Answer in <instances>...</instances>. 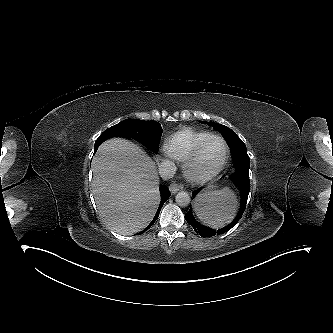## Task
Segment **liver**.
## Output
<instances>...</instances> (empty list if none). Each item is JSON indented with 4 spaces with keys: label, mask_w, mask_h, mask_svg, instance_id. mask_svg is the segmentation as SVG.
<instances>
[{
    "label": "liver",
    "mask_w": 333,
    "mask_h": 333,
    "mask_svg": "<svg viewBox=\"0 0 333 333\" xmlns=\"http://www.w3.org/2000/svg\"><path fill=\"white\" fill-rule=\"evenodd\" d=\"M92 171L93 195L104 222L122 235L145 228L160 201L154 161L133 142L114 138L99 147Z\"/></svg>",
    "instance_id": "obj_1"
}]
</instances>
